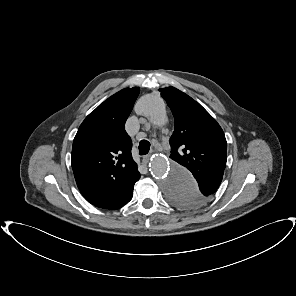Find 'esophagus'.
Returning <instances> with one entry per match:
<instances>
[{"label":"esophagus","mask_w":296,"mask_h":296,"mask_svg":"<svg viewBox=\"0 0 296 296\" xmlns=\"http://www.w3.org/2000/svg\"><path fill=\"white\" fill-rule=\"evenodd\" d=\"M150 158H151V155H145V156H143L142 162L144 164H148Z\"/></svg>","instance_id":"34e87169"}]
</instances>
